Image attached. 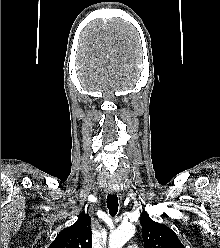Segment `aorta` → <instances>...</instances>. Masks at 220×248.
<instances>
[{
	"mask_svg": "<svg viewBox=\"0 0 220 248\" xmlns=\"http://www.w3.org/2000/svg\"><path fill=\"white\" fill-rule=\"evenodd\" d=\"M135 234L132 223L121 224L109 237V248H122Z\"/></svg>",
	"mask_w": 220,
	"mask_h": 248,
	"instance_id": "aorta-1",
	"label": "aorta"
}]
</instances>
